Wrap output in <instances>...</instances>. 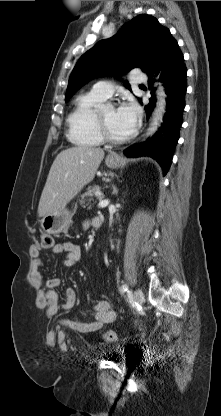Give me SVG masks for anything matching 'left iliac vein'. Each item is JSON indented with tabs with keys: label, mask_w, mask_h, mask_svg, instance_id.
I'll return each instance as SVG.
<instances>
[{
	"label": "left iliac vein",
	"mask_w": 221,
	"mask_h": 416,
	"mask_svg": "<svg viewBox=\"0 0 221 416\" xmlns=\"http://www.w3.org/2000/svg\"><path fill=\"white\" fill-rule=\"evenodd\" d=\"M134 300L136 303L142 305L144 301V295L141 289H136L134 291Z\"/></svg>",
	"instance_id": "1"
}]
</instances>
